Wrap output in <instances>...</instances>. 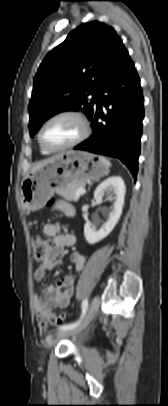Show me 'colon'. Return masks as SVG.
Listing matches in <instances>:
<instances>
[{"label":"colon","mask_w":168,"mask_h":406,"mask_svg":"<svg viewBox=\"0 0 168 406\" xmlns=\"http://www.w3.org/2000/svg\"><path fill=\"white\" fill-rule=\"evenodd\" d=\"M34 259L39 262L46 261L53 249L52 242L42 235H35L32 239ZM47 321L54 326H61L64 323V315L48 312L45 314Z\"/></svg>","instance_id":"obj_1"}]
</instances>
